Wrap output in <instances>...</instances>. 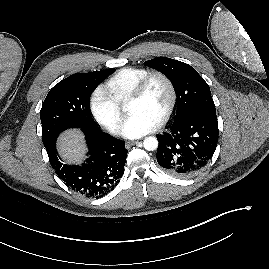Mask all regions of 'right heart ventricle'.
<instances>
[{
    "label": "right heart ventricle",
    "mask_w": 269,
    "mask_h": 269,
    "mask_svg": "<svg viewBox=\"0 0 269 269\" xmlns=\"http://www.w3.org/2000/svg\"><path fill=\"white\" fill-rule=\"evenodd\" d=\"M150 71L141 67H125L117 71L105 83V90L116 101L126 102L138 82Z\"/></svg>",
    "instance_id": "right-heart-ventricle-1"
}]
</instances>
